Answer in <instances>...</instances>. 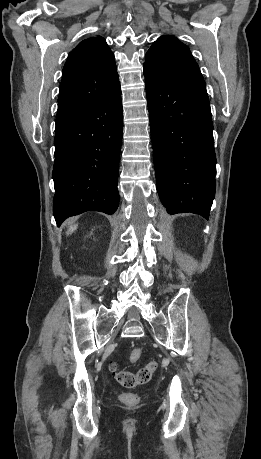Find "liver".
I'll return each mask as SVG.
<instances>
[{"label":"liver","mask_w":261,"mask_h":459,"mask_svg":"<svg viewBox=\"0 0 261 459\" xmlns=\"http://www.w3.org/2000/svg\"><path fill=\"white\" fill-rule=\"evenodd\" d=\"M78 225L77 224H74L72 225L69 230L67 231V235L71 234L73 231H75L77 229Z\"/></svg>","instance_id":"6515ba94"}]
</instances>
